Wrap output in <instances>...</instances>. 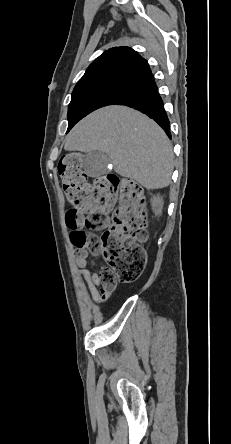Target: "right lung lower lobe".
Returning <instances> with one entry per match:
<instances>
[{
  "instance_id": "right-lung-lower-lobe-1",
  "label": "right lung lower lobe",
  "mask_w": 231,
  "mask_h": 444,
  "mask_svg": "<svg viewBox=\"0 0 231 444\" xmlns=\"http://www.w3.org/2000/svg\"><path fill=\"white\" fill-rule=\"evenodd\" d=\"M113 104L126 105L145 113L156 121L171 138L169 120L154 80L127 92Z\"/></svg>"
}]
</instances>
